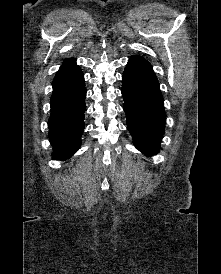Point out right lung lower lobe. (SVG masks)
Wrapping results in <instances>:
<instances>
[{"instance_id": "98d812e1", "label": "right lung lower lobe", "mask_w": 221, "mask_h": 274, "mask_svg": "<svg viewBox=\"0 0 221 274\" xmlns=\"http://www.w3.org/2000/svg\"><path fill=\"white\" fill-rule=\"evenodd\" d=\"M49 139L52 158L66 160L81 146L86 105L84 74L75 59L61 65L52 82Z\"/></svg>"}]
</instances>
